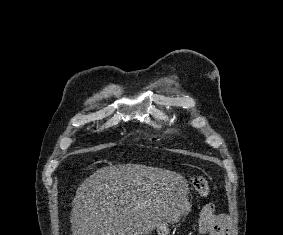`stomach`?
I'll use <instances>...</instances> for the list:
<instances>
[{"label":"stomach","instance_id":"1","mask_svg":"<svg viewBox=\"0 0 283 235\" xmlns=\"http://www.w3.org/2000/svg\"><path fill=\"white\" fill-rule=\"evenodd\" d=\"M190 207L191 204L189 202V199L186 197V194L179 195L174 208L175 216L171 219V221H178L179 217L182 214H185L190 211ZM168 222V220L163 221L159 226L155 228L157 235H169Z\"/></svg>","mask_w":283,"mask_h":235}]
</instances>
